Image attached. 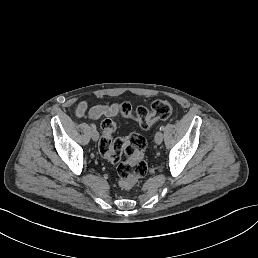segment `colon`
Segmentation results:
<instances>
[{"label": "colon", "mask_w": 258, "mask_h": 258, "mask_svg": "<svg viewBox=\"0 0 258 258\" xmlns=\"http://www.w3.org/2000/svg\"><path fill=\"white\" fill-rule=\"evenodd\" d=\"M172 112V105L167 100H156L150 108L140 106L133 109L130 103L120 105V115L124 119H134L144 130L149 129L156 121L167 119ZM116 122L106 118L101 122L102 135L98 149L105 159L117 164V174L121 188L128 190L147 172V162L144 152L145 138L133 133L125 138H114ZM126 160L121 161L122 156Z\"/></svg>", "instance_id": "5ec220e1"}]
</instances>
